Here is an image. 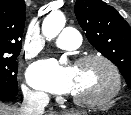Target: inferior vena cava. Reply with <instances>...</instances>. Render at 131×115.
<instances>
[{
    "label": "inferior vena cava",
    "mask_w": 131,
    "mask_h": 115,
    "mask_svg": "<svg viewBox=\"0 0 131 115\" xmlns=\"http://www.w3.org/2000/svg\"><path fill=\"white\" fill-rule=\"evenodd\" d=\"M49 103V97L46 94H38L26 91L24 100L20 109L21 115H43L44 108Z\"/></svg>",
    "instance_id": "obj_1"
}]
</instances>
